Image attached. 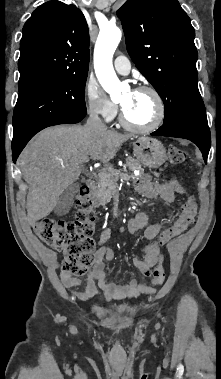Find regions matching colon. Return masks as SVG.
Masks as SVG:
<instances>
[{"label":"colon","mask_w":221,"mask_h":379,"mask_svg":"<svg viewBox=\"0 0 221 379\" xmlns=\"http://www.w3.org/2000/svg\"><path fill=\"white\" fill-rule=\"evenodd\" d=\"M169 159L172 164H182L186 160V154L179 148H171ZM76 206L77 214L74 220L43 219L34 225V230L43 242L64 253L62 269L73 276H80L92 263L96 202L81 189ZM197 208L195 198L190 196L183 204L181 214L175 223L160 233L159 244L165 245L184 233L193 224ZM152 275L154 284L158 285L164 281L162 259Z\"/></svg>","instance_id":"5ec220e1"}]
</instances>
